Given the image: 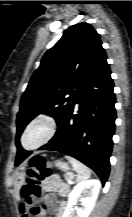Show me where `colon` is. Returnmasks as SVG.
Here are the masks:
<instances>
[{"label": "colon", "instance_id": "colon-1", "mask_svg": "<svg viewBox=\"0 0 132 217\" xmlns=\"http://www.w3.org/2000/svg\"><path fill=\"white\" fill-rule=\"evenodd\" d=\"M50 175V166L47 160L42 156H34L31 158L29 167L26 171L25 178L21 187V195L27 200L35 196H39L41 192V181ZM40 209L32 207L29 211L30 217L38 215Z\"/></svg>", "mask_w": 132, "mask_h": 217}]
</instances>
